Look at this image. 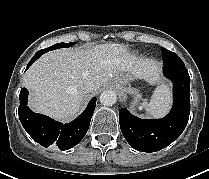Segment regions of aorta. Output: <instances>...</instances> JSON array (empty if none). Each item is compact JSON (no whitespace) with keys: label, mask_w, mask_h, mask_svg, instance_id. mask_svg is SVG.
Listing matches in <instances>:
<instances>
[{"label":"aorta","mask_w":209,"mask_h":179,"mask_svg":"<svg viewBox=\"0 0 209 179\" xmlns=\"http://www.w3.org/2000/svg\"><path fill=\"white\" fill-rule=\"evenodd\" d=\"M117 101V94L112 90L103 91L100 95V102L104 106H112Z\"/></svg>","instance_id":"1"}]
</instances>
